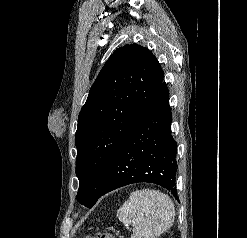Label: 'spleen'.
Returning <instances> with one entry per match:
<instances>
[{
    "label": "spleen",
    "mask_w": 247,
    "mask_h": 238,
    "mask_svg": "<svg viewBox=\"0 0 247 238\" xmlns=\"http://www.w3.org/2000/svg\"><path fill=\"white\" fill-rule=\"evenodd\" d=\"M117 217L134 228L131 238H156L172 226L175 207L170 197L159 190H136L118 209Z\"/></svg>",
    "instance_id": "spleen-1"
}]
</instances>
